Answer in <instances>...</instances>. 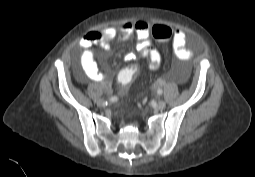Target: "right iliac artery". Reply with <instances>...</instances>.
Masks as SVG:
<instances>
[{
	"mask_svg": "<svg viewBox=\"0 0 255 177\" xmlns=\"http://www.w3.org/2000/svg\"><path fill=\"white\" fill-rule=\"evenodd\" d=\"M117 100H118V98L116 96H113V97L110 98L111 102H116Z\"/></svg>",
	"mask_w": 255,
	"mask_h": 177,
	"instance_id": "right-iliac-artery-1",
	"label": "right iliac artery"
}]
</instances>
